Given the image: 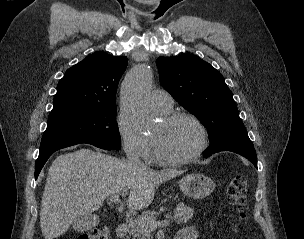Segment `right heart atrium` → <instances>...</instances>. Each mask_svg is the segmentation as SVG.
Wrapping results in <instances>:
<instances>
[{
    "instance_id": "1",
    "label": "right heart atrium",
    "mask_w": 304,
    "mask_h": 239,
    "mask_svg": "<svg viewBox=\"0 0 304 239\" xmlns=\"http://www.w3.org/2000/svg\"><path fill=\"white\" fill-rule=\"evenodd\" d=\"M116 122L126 154L133 158H147L150 153V140L134 125L124 109L119 110Z\"/></svg>"
}]
</instances>
